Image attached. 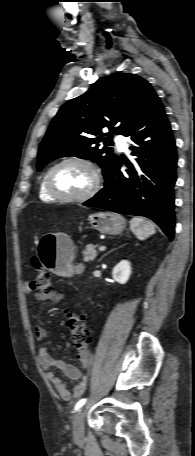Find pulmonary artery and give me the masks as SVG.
Segmentation results:
<instances>
[{"instance_id":"e3ab8cb5","label":"pulmonary artery","mask_w":195,"mask_h":456,"mask_svg":"<svg viewBox=\"0 0 195 456\" xmlns=\"http://www.w3.org/2000/svg\"><path fill=\"white\" fill-rule=\"evenodd\" d=\"M116 142H117V145H118V148L121 149V150H126L127 149V144H126V140L123 136H117L116 137Z\"/></svg>"}]
</instances>
